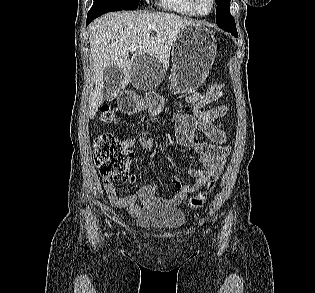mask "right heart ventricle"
<instances>
[{"label": "right heart ventricle", "mask_w": 315, "mask_h": 293, "mask_svg": "<svg viewBox=\"0 0 315 293\" xmlns=\"http://www.w3.org/2000/svg\"><path fill=\"white\" fill-rule=\"evenodd\" d=\"M159 5L166 11L184 17L198 16L191 6L190 0H159Z\"/></svg>", "instance_id": "right-heart-ventricle-1"}]
</instances>
